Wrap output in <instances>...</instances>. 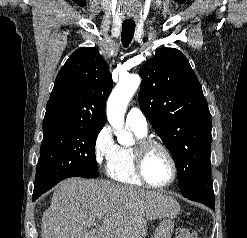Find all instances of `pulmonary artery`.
<instances>
[{
    "label": "pulmonary artery",
    "mask_w": 247,
    "mask_h": 238,
    "mask_svg": "<svg viewBox=\"0 0 247 238\" xmlns=\"http://www.w3.org/2000/svg\"><path fill=\"white\" fill-rule=\"evenodd\" d=\"M126 123L130 128H134L140 132H147L148 122L143 112L137 108L132 107L126 115Z\"/></svg>",
    "instance_id": "1"
}]
</instances>
